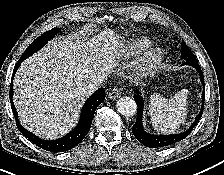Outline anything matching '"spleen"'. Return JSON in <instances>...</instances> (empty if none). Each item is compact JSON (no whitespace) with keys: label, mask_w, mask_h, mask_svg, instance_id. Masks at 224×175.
<instances>
[{"label":"spleen","mask_w":224,"mask_h":175,"mask_svg":"<svg viewBox=\"0 0 224 175\" xmlns=\"http://www.w3.org/2000/svg\"><path fill=\"white\" fill-rule=\"evenodd\" d=\"M187 92L181 90L173 98L166 99L153 94L149 101V114L153 127L161 133H172L184 123L187 116Z\"/></svg>","instance_id":"3e777b00"}]
</instances>
